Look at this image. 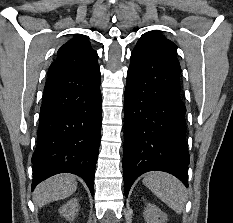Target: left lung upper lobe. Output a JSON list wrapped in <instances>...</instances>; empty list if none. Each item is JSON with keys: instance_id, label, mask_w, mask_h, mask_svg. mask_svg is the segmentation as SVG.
I'll return each instance as SVG.
<instances>
[{"instance_id": "obj_1", "label": "left lung upper lobe", "mask_w": 233, "mask_h": 223, "mask_svg": "<svg viewBox=\"0 0 233 223\" xmlns=\"http://www.w3.org/2000/svg\"><path fill=\"white\" fill-rule=\"evenodd\" d=\"M139 41H147L154 48L158 49L161 53L179 63L176 57L177 46L172 41L166 39L158 31H150L145 33L144 35H142Z\"/></svg>"}]
</instances>
